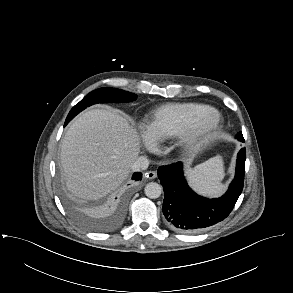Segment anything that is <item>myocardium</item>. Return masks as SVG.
<instances>
[{
    "label": "myocardium",
    "instance_id": "myocardium-1",
    "mask_svg": "<svg viewBox=\"0 0 293 293\" xmlns=\"http://www.w3.org/2000/svg\"><path fill=\"white\" fill-rule=\"evenodd\" d=\"M221 125L222 116L217 110L203 113L180 135L178 145L184 149L199 147L211 140L218 133Z\"/></svg>",
    "mask_w": 293,
    "mask_h": 293
}]
</instances>
